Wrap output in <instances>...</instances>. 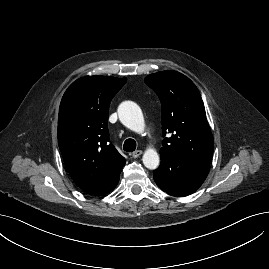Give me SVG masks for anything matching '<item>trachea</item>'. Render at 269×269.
Instances as JSON below:
<instances>
[{
	"mask_svg": "<svg viewBox=\"0 0 269 269\" xmlns=\"http://www.w3.org/2000/svg\"><path fill=\"white\" fill-rule=\"evenodd\" d=\"M123 149L126 152H133L136 149V142L134 139H127L124 142Z\"/></svg>",
	"mask_w": 269,
	"mask_h": 269,
	"instance_id": "obj_1",
	"label": "trachea"
}]
</instances>
